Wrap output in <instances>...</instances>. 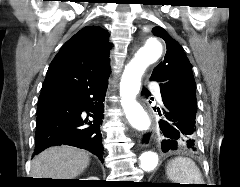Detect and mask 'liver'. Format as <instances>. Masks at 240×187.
<instances>
[{
    "label": "liver",
    "instance_id": "1",
    "mask_svg": "<svg viewBox=\"0 0 240 187\" xmlns=\"http://www.w3.org/2000/svg\"><path fill=\"white\" fill-rule=\"evenodd\" d=\"M86 151L73 146L50 147L37 155L31 164L32 178L74 179L89 165Z\"/></svg>",
    "mask_w": 240,
    "mask_h": 187
}]
</instances>
